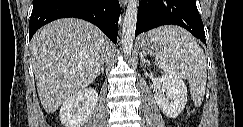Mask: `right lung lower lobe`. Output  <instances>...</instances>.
<instances>
[{"label":"right lung lower lobe","mask_w":243,"mask_h":127,"mask_svg":"<svg viewBox=\"0 0 243 127\" xmlns=\"http://www.w3.org/2000/svg\"><path fill=\"white\" fill-rule=\"evenodd\" d=\"M119 15L118 0H34L29 21L30 39L40 27L53 20L75 17L93 23L116 43Z\"/></svg>","instance_id":"right-lung-lower-lobe-1"}]
</instances>
